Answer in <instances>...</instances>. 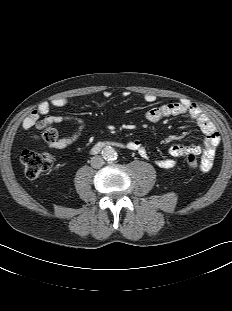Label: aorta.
<instances>
[{"label":"aorta","instance_id":"aorta-1","mask_svg":"<svg viewBox=\"0 0 232 311\" xmlns=\"http://www.w3.org/2000/svg\"><path fill=\"white\" fill-rule=\"evenodd\" d=\"M102 157L107 162H114L117 159L118 154L113 147L107 146L102 150Z\"/></svg>","mask_w":232,"mask_h":311}]
</instances>
